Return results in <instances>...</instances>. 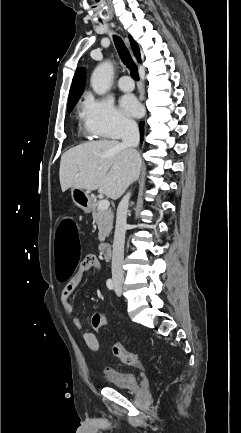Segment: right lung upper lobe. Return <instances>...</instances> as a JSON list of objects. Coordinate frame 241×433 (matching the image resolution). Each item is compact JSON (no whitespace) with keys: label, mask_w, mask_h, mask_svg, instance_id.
Masks as SVG:
<instances>
[{"label":"right lung upper lobe","mask_w":241,"mask_h":433,"mask_svg":"<svg viewBox=\"0 0 241 433\" xmlns=\"http://www.w3.org/2000/svg\"><path fill=\"white\" fill-rule=\"evenodd\" d=\"M132 49L138 59L140 61V50L137 43L130 37ZM85 85V69L79 68L73 78L72 85L69 93V102L68 107L74 106L78 99L80 98Z\"/></svg>","instance_id":"right-lung-upper-lobe-1"}]
</instances>
